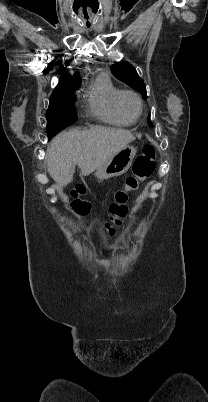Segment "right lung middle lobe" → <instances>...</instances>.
Masks as SVG:
<instances>
[{"label": "right lung middle lobe", "mask_w": 208, "mask_h": 402, "mask_svg": "<svg viewBox=\"0 0 208 402\" xmlns=\"http://www.w3.org/2000/svg\"><path fill=\"white\" fill-rule=\"evenodd\" d=\"M74 91L51 96L46 112L47 123L62 121L70 125L77 120L74 106Z\"/></svg>", "instance_id": "obj_1"}]
</instances>
